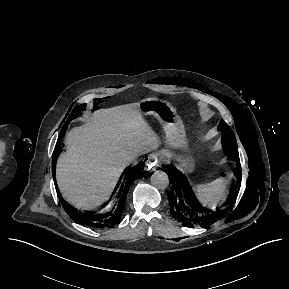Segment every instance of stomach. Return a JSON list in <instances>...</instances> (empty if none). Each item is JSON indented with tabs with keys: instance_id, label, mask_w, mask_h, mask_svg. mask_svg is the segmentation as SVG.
Instances as JSON below:
<instances>
[{
	"instance_id": "1",
	"label": "stomach",
	"mask_w": 289,
	"mask_h": 289,
	"mask_svg": "<svg viewBox=\"0 0 289 289\" xmlns=\"http://www.w3.org/2000/svg\"><path fill=\"white\" fill-rule=\"evenodd\" d=\"M139 110L141 115H153L162 124L166 134V142L170 148L184 151L188 140L182 120L177 115L173 106L157 98H148L140 101ZM180 167L184 171H191L193 168L192 158L185 154L177 156Z\"/></svg>"
}]
</instances>
